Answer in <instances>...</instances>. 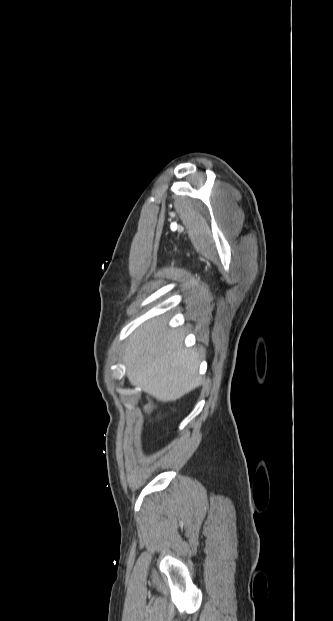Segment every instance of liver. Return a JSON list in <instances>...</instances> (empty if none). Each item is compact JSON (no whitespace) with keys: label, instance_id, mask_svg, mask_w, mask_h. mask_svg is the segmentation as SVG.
Segmentation results:
<instances>
[{"label":"liver","instance_id":"liver-1","mask_svg":"<svg viewBox=\"0 0 333 621\" xmlns=\"http://www.w3.org/2000/svg\"><path fill=\"white\" fill-rule=\"evenodd\" d=\"M122 360L132 385L163 402L181 398L200 382V352L184 348L182 333L168 330L163 317L130 335Z\"/></svg>","mask_w":333,"mask_h":621}]
</instances>
